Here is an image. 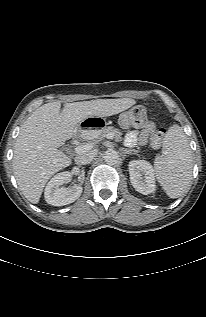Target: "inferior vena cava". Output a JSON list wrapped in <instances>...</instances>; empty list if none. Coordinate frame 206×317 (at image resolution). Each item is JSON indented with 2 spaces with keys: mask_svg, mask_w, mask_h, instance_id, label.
I'll return each instance as SVG.
<instances>
[{
  "mask_svg": "<svg viewBox=\"0 0 206 317\" xmlns=\"http://www.w3.org/2000/svg\"><path fill=\"white\" fill-rule=\"evenodd\" d=\"M95 156H96V152L94 151L83 153L78 155L75 158V162L77 164L86 165V164H89L94 159Z\"/></svg>",
  "mask_w": 206,
  "mask_h": 317,
  "instance_id": "1",
  "label": "inferior vena cava"
}]
</instances>
